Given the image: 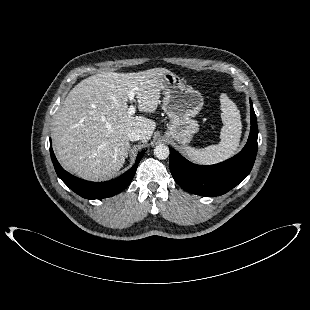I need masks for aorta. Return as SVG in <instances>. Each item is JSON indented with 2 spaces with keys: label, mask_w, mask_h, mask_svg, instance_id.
<instances>
[{
  "label": "aorta",
  "mask_w": 310,
  "mask_h": 310,
  "mask_svg": "<svg viewBox=\"0 0 310 310\" xmlns=\"http://www.w3.org/2000/svg\"><path fill=\"white\" fill-rule=\"evenodd\" d=\"M170 151L168 146L164 144H159L154 148V155L158 159H166L169 157Z\"/></svg>",
  "instance_id": "aorta-1"
}]
</instances>
